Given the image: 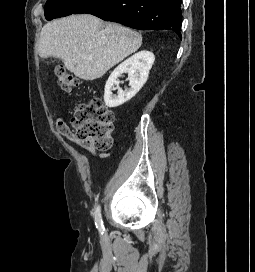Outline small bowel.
Instances as JSON below:
<instances>
[{"label":"small bowel","instance_id":"c3829d8e","mask_svg":"<svg viewBox=\"0 0 255 272\" xmlns=\"http://www.w3.org/2000/svg\"><path fill=\"white\" fill-rule=\"evenodd\" d=\"M56 128L57 131L59 132V134H61L63 137L67 138L68 140L79 144L81 146H83L84 148H86L89 152H91L94 156H98V152L92 148L91 146H89L88 144L79 141L74 133L72 132V130L70 129V127L68 126V124L65 122L64 119L62 118H58L56 120Z\"/></svg>","mask_w":255,"mask_h":272}]
</instances>
